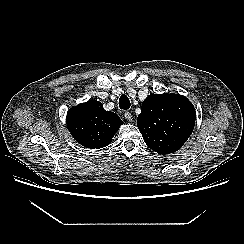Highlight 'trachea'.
Wrapping results in <instances>:
<instances>
[{
  "label": "trachea",
  "mask_w": 244,
  "mask_h": 244,
  "mask_svg": "<svg viewBox=\"0 0 244 244\" xmlns=\"http://www.w3.org/2000/svg\"><path fill=\"white\" fill-rule=\"evenodd\" d=\"M130 100L126 95H121L119 99V107L122 110H128L130 108Z\"/></svg>",
  "instance_id": "1"
}]
</instances>
